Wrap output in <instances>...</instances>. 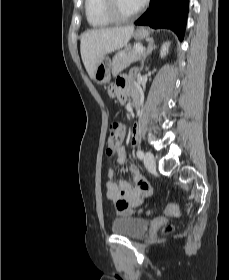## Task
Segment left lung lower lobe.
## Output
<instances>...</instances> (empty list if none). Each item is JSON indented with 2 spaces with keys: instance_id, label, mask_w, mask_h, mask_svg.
Instances as JSON below:
<instances>
[{
  "instance_id": "left-lung-lower-lobe-1",
  "label": "left lung lower lobe",
  "mask_w": 229,
  "mask_h": 280,
  "mask_svg": "<svg viewBox=\"0 0 229 280\" xmlns=\"http://www.w3.org/2000/svg\"><path fill=\"white\" fill-rule=\"evenodd\" d=\"M188 9L189 0H151L149 8L135 24L171 29L182 40Z\"/></svg>"
}]
</instances>
